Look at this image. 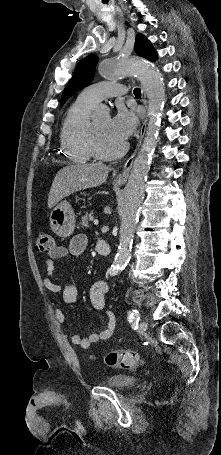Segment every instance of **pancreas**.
I'll return each instance as SVG.
<instances>
[{
	"label": "pancreas",
	"instance_id": "1",
	"mask_svg": "<svg viewBox=\"0 0 221 455\" xmlns=\"http://www.w3.org/2000/svg\"><path fill=\"white\" fill-rule=\"evenodd\" d=\"M93 220V212L90 211L89 213H86L84 216H82L81 221L77 225V228L81 227H89V221Z\"/></svg>",
	"mask_w": 221,
	"mask_h": 455
}]
</instances>
